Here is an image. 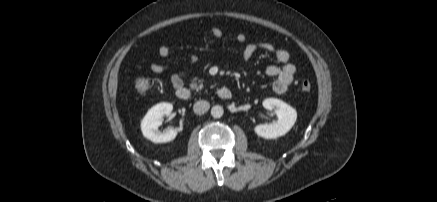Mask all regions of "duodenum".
<instances>
[{"instance_id":"410a0bca","label":"duodenum","mask_w":437,"mask_h":202,"mask_svg":"<svg viewBox=\"0 0 437 202\" xmlns=\"http://www.w3.org/2000/svg\"><path fill=\"white\" fill-rule=\"evenodd\" d=\"M217 94L221 99H224V100H228L232 97V92L227 87L219 88ZM176 96L180 100L188 101V100L193 99L195 95L191 89H189L185 86H182V87L176 89Z\"/></svg>"}]
</instances>
